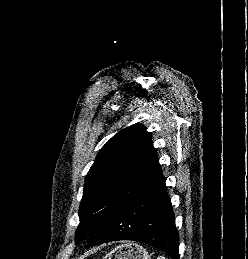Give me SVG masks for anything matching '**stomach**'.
Wrapping results in <instances>:
<instances>
[{
    "label": "stomach",
    "mask_w": 248,
    "mask_h": 259,
    "mask_svg": "<svg viewBox=\"0 0 248 259\" xmlns=\"http://www.w3.org/2000/svg\"><path fill=\"white\" fill-rule=\"evenodd\" d=\"M103 259H151L142 246L135 243H125L115 247Z\"/></svg>",
    "instance_id": "obj_1"
}]
</instances>
